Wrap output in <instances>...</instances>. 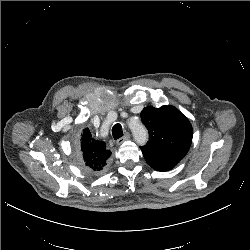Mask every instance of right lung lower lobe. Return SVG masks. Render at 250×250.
Instances as JSON below:
<instances>
[{"instance_id":"obj_1","label":"right lung lower lobe","mask_w":250,"mask_h":250,"mask_svg":"<svg viewBox=\"0 0 250 250\" xmlns=\"http://www.w3.org/2000/svg\"><path fill=\"white\" fill-rule=\"evenodd\" d=\"M85 168H86L87 171H89V172H91L93 174H99V173H101L103 171V170H93V169L87 168L86 166H85Z\"/></svg>"}]
</instances>
